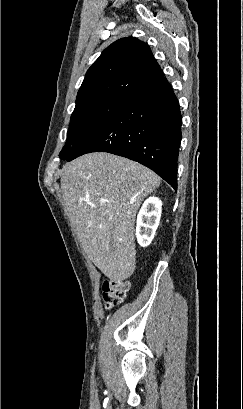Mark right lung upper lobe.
Segmentation results:
<instances>
[{
	"label": "right lung upper lobe",
	"instance_id": "1",
	"mask_svg": "<svg viewBox=\"0 0 243 409\" xmlns=\"http://www.w3.org/2000/svg\"><path fill=\"white\" fill-rule=\"evenodd\" d=\"M163 77L146 43L135 37L122 38L108 46L88 69L76 104L105 98L126 99Z\"/></svg>",
	"mask_w": 243,
	"mask_h": 409
}]
</instances>
